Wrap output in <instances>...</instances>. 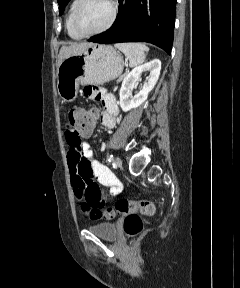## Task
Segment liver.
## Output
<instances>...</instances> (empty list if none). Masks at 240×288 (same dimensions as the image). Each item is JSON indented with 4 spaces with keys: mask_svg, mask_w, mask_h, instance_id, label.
I'll return each mask as SVG.
<instances>
[{
    "mask_svg": "<svg viewBox=\"0 0 240 288\" xmlns=\"http://www.w3.org/2000/svg\"><path fill=\"white\" fill-rule=\"evenodd\" d=\"M91 43H73L70 46H63L60 49L59 52V61H58V65H60V63L67 57L73 55V54H77L79 52H81L82 50H84L86 47L90 46Z\"/></svg>",
    "mask_w": 240,
    "mask_h": 288,
    "instance_id": "liver-1",
    "label": "liver"
}]
</instances>
